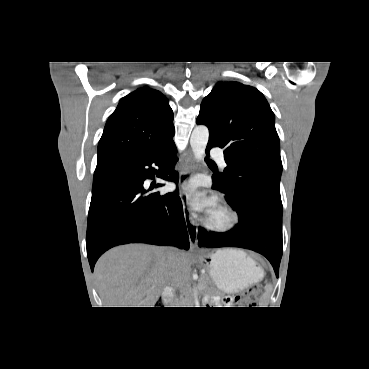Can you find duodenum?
I'll return each instance as SVG.
<instances>
[{"instance_id":"duodenum-1","label":"duodenum","mask_w":369,"mask_h":369,"mask_svg":"<svg viewBox=\"0 0 369 369\" xmlns=\"http://www.w3.org/2000/svg\"><path fill=\"white\" fill-rule=\"evenodd\" d=\"M173 290L171 288H166L162 293V299L164 302L169 303L173 299Z\"/></svg>"}]
</instances>
